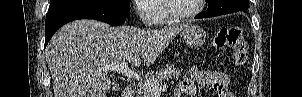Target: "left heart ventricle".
<instances>
[{
	"instance_id": "obj_1",
	"label": "left heart ventricle",
	"mask_w": 302,
	"mask_h": 97,
	"mask_svg": "<svg viewBox=\"0 0 302 97\" xmlns=\"http://www.w3.org/2000/svg\"><path fill=\"white\" fill-rule=\"evenodd\" d=\"M198 5V0H171L173 10L178 14L193 11Z\"/></svg>"
}]
</instances>
